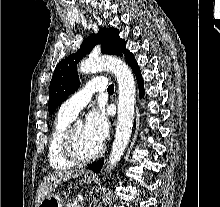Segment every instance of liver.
<instances>
[{"instance_id":"1","label":"liver","mask_w":220,"mask_h":207,"mask_svg":"<svg viewBox=\"0 0 220 207\" xmlns=\"http://www.w3.org/2000/svg\"><path fill=\"white\" fill-rule=\"evenodd\" d=\"M82 174H84V170L57 171L45 176L37 191V196L35 201L36 207H38L41 201L45 197L49 196L53 191V189L59 184H61V182L67 181L71 178L78 177Z\"/></svg>"}]
</instances>
